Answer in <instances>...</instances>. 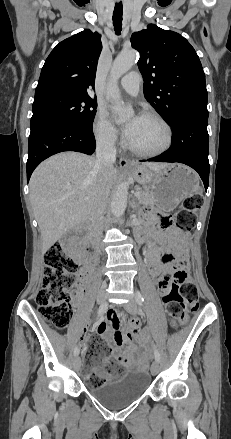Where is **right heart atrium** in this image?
I'll return each mask as SVG.
<instances>
[{
	"instance_id": "1",
	"label": "right heart atrium",
	"mask_w": 231,
	"mask_h": 439,
	"mask_svg": "<svg viewBox=\"0 0 231 439\" xmlns=\"http://www.w3.org/2000/svg\"><path fill=\"white\" fill-rule=\"evenodd\" d=\"M93 133L96 142L105 148H115L119 142L118 132L109 121L104 110H98L94 123Z\"/></svg>"
}]
</instances>
